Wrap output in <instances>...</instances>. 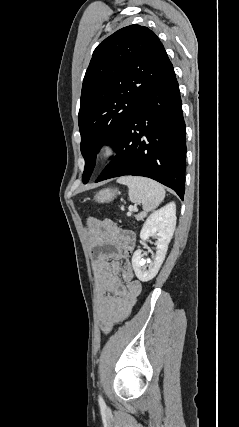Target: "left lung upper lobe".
Segmentation results:
<instances>
[{
    "label": "left lung upper lobe",
    "mask_w": 239,
    "mask_h": 427,
    "mask_svg": "<svg viewBox=\"0 0 239 427\" xmlns=\"http://www.w3.org/2000/svg\"><path fill=\"white\" fill-rule=\"evenodd\" d=\"M172 68L159 38L140 25L118 30L94 50L83 79L78 115L84 184L101 146L117 147L139 102Z\"/></svg>",
    "instance_id": "obj_1"
}]
</instances>
